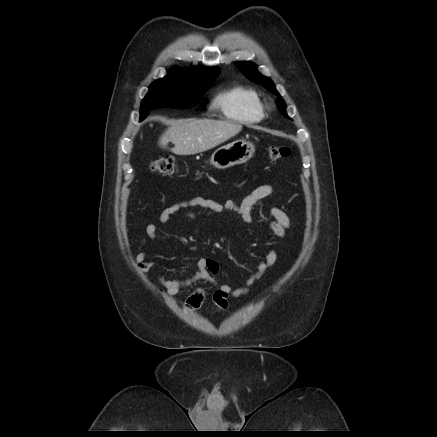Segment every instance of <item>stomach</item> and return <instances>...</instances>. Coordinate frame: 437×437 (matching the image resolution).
I'll return each instance as SVG.
<instances>
[{
    "instance_id": "0dacf381",
    "label": "stomach",
    "mask_w": 437,
    "mask_h": 437,
    "mask_svg": "<svg viewBox=\"0 0 437 437\" xmlns=\"http://www.w3.org/2000/svg\"><path fill=\"white\" fill-rule=\"evenodd\" d=\"M254 151L255 147L251 142L237 140L215 150L210 163L218 169L229 168L247 162L252 158Z\"/></svg>"
}]
</instances>
